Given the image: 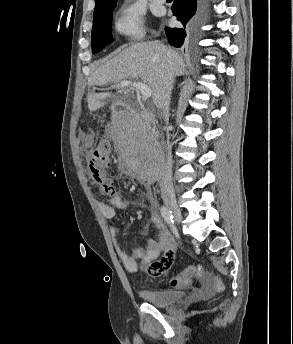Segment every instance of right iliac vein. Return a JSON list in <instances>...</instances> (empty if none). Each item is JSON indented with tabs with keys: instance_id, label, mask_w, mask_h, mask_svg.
Segmentation results:
<instances>
[{
	"instance_id": "obj_1",
	"label": "right iliac vein",
	"mask_w": 293,
	"mask_h": 344,
	"mask_svg": "<svg viewBox=\"0 0 293 344\" xmlns=\"http://www.w3.org/2000/svg\"><path fill=\"white\" fill-rule=\"evenodd\" d=\"M166 206L168 207L169 210H171V212L173 213L175 220L177 222H181L182 220V213L181 210L178 206V204L176 203V201L174 200H167L165 201Z\"/></svg>"
}]
</instances>
